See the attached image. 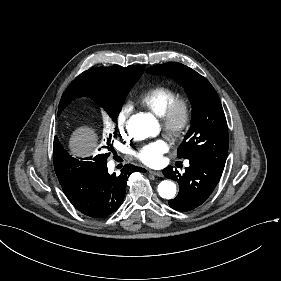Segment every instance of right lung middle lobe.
Returning a JSON list of instances; mask_svg holds the SVG:
<instances>
[{
  "mask_svg": "<svg viewBox=\"0 0 281 281\" xmlns=\"http://www.w3.org/2000/svg\"><path fill=\"white\" fill-rule=\"evenodd\" d=\"M124 100L125 98L117 100H103L99 101L98 104L110 115L113 120H116ZM103 155L108 156L109 153L99 154L95 157L77 159L71 157L63 148L54 147V164L56 174L59 179L75 177L88 167L90 161H94L96 158H99Z\"/></svg>",
  "mask_w": 281,
  "mask_h": 281,
  "instance_id": "obj_1",
  "label": "right lung middle lobe"
}]
</instances>
